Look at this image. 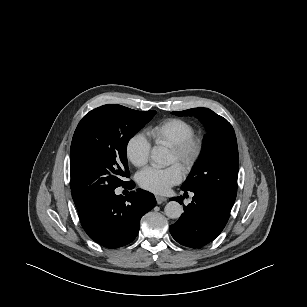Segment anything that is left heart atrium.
Returning <instances> with one entry per match:
<instances>
[{"label": "left heart atrium", "mask_w": 307, "mask_h": 307, "mask_svg": "<svg viewBox=\"0 0 307 307\" xmlns=\"http://www.w3.org/2000/svg\"><path fill=\"white\" fill-rule=\"evenodd\" d=\"M183 177L181 168L172 165L167 168L148 167L137 176L138 183L143 189L156 193H166L173 185L178 184Z\"/></svg>", "instance_id": "left-heart-atrium-1"}]
</instances>
